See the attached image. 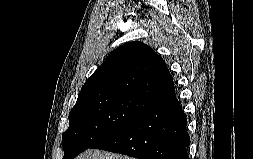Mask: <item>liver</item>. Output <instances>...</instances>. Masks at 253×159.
I'll list each match as a JSON object with an SVG mask.
<instances>
[{"label":"liver","instance_id":"6515ba94","mask_svg":"<svg viewBox=\"0 0 253 159\" xmlns=\"http://www.w3.org/2000/svg\"><path fill=\"white\" fill-rule=\"evenodd\" d=\"M76 159H134V158L122 156L119 154H112L109 152L96 149H88L79 156H77Z\"/></svg>","mask_w":253,"mask_h":159}]
</instances>
